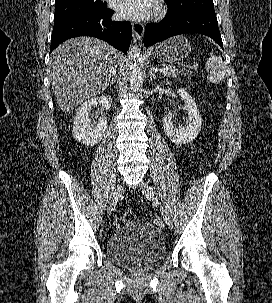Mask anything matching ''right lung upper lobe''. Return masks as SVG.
Returning a JSON list of instances; mask_svg holds the SVG:
<instances>
[{"instance_id": "obj_1", "label": "right lung upper lobe", "mask_w": 272, "mask_h": 303, "mask_svg": "<svg viewBox=\"0 0 272 303\" xmlns=\"http://www.w3.org/2000/svg\"><path fill=\"white\" fill-rule=\"evenodd\" d=\"M60 1H64V0H55V2H60Z\"/></svg>"}]
</instances>
